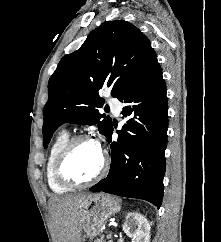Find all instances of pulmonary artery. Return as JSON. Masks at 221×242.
Segmentation results:
<instances>
[{"label":"pulmonary artery","instance_id":"e3ab8cb5","mask_svg":"<svg viewBox=\"0 0 221 242\" xmlns=\"http://www.w3.org/2000/svg\"><path fill=\"white\" fill-rule=\"evenodd\" d=\"M109 103L114 113L118 115L121 111V104L117 100H111Z\"/></svg>","mask_w":221,"mask_h":242}]
</instances>
